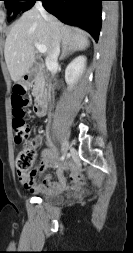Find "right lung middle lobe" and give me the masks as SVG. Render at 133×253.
<instances>
[{
	"label": "right lung middle lobe",
	"instance_id": "1",
	"mask_svg": "<svg viewBox=\"0 0 133 253\" xmlns=\"http://www.w3.org/2000/svg\"><path fill=\"white\" fill-rule=\"evenodd\" d=\"M5 1L6 7L9 8V10H12L15 12V15L18 14L24 7L23 4L19 3V1H26V0H3ZM8 21H11V18H8Z\"/></svg>",
	"mask_w": 133,
	"mask_h": 253
}]
</instances>
